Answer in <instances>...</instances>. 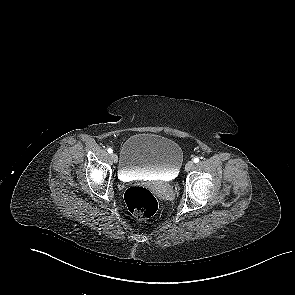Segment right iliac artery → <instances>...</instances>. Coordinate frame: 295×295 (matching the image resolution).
Here are the masks:
<instances>
[{
	"instance_id": "1",
	"label": "right iliac artery",
	"mask_w": 295,
	"mask_h": 295,
	"mask_svg": "<svg viewBox=\"0 0 295 295\" xmlns=\"http://www.w3.org/2000/svg\"><path fill=\"white\" fill-rule=\"evenodd\" d=\"M108 153H112L113 152V150H112V148H108Z\"/></svg>"
}]
</instances>
